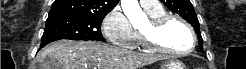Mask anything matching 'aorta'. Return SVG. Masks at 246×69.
I'll list each match as a JSON object with an SVG mask.
<instances>
[{
	"label": "aorta",
	"instance_id": "1",
	"mask_svg": "<svg viewBox=\"0 0 246 69\" xmlns=\"http://www.w3.org/2000/svg\"><path fill=\"white\" fill-rule=\"evenodd\" d=\"M121 7L133 26L146 19V14L140 8L138 0H121Z\"/></svg>",
	"mask_w": 246,
	"mask_h": 69
}]
</instances>
